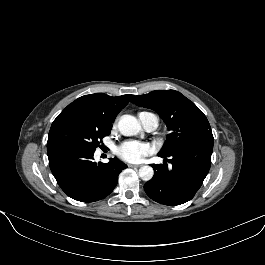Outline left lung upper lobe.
I'll return each mask as SVG.
<instances>
[{
	"label": "left lung upper lobe",
	"mask_w": 265,
	"mask_h": 265,
	"mask_svg": "<svg viewBox=\"0 0 265 265\" xmlns=\"http://www.w3.org/2000/svg\"><path fill=\"white\" fill-rule=\"evenodd\" d=\"M132 97V103L156 111L171 131L160 151L161 154H170L197 136L212 134L203 112L178 91L156 90Z\"/></svg>",
	"instance_id": "1"
}]
</instances>
